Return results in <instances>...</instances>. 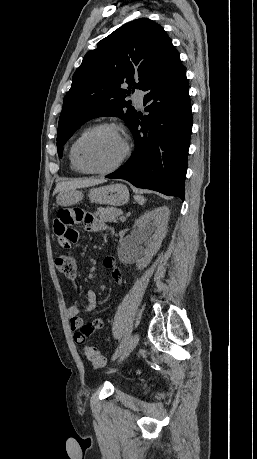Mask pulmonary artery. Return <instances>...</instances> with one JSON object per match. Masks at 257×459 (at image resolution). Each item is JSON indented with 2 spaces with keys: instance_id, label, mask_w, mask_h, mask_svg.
Listing matches in <instances>:
<instances>
[{
  "instance_id": "obj_1",
  "label": "pulmonary artery",
  "mask_w": 257,
  "mask_h": 459,
  "mask_svg": "<svg viewBox=\"0 0 257 459\" xmlns=\"http://www.w3.org/2000/svg\"><path fill=\"white\" fill-rule=\"evenodd\" d=\"M145 93L142 90H137L134 93V102L139 106L143 107Z\"/></svg>"
}]
</instances>
